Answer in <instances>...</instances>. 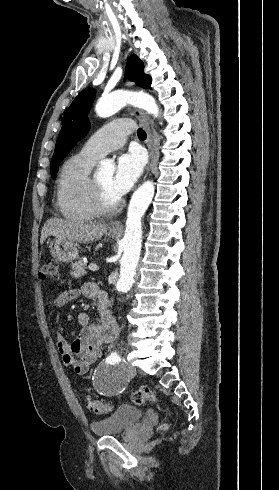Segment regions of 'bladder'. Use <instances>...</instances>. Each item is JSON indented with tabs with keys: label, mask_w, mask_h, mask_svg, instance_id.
<instances>
[{
	"label": "bladder",
	"mask_w": 279,
	"mask_h": 490,
	"mask_svg": "<svg viewBox=\"0 0 279 490\" xmlns=\"http://www.w3.org/2000/svg\"><path fill=\"white\" fill-rule=\"evenodd\" d=\"M145 412L139 406L119 405L118 410L103 420L93 421L91 431L97 437L116 436L140 423Z\"/></svg>",
	"instance_id": "obj_1"
}]
</instances>
